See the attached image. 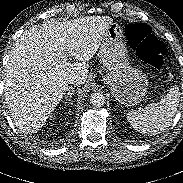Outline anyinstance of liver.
Returning a JSON list of instances; mask_svg holds the SVG:
<instances>
[{
    "label": "liver",
    "instance_id": "liver-1",
    "mask_svg": "<svg viewBox=\"0 0 183 183\" xmlns=\"http://www.w3.org/2000/svg\"><path fill=\"white\" fill-rule=\"evenodd\" d=\"M112 23L109 16L51 20L29 28L15 41L5 67L4 95L21 131L35 133L45 124L68 91L69 75L78 74L86 81V62L98 51Z\"/></svg>",
    "mask_w": 183,
    "mask_h": 183
}]
</instances>
